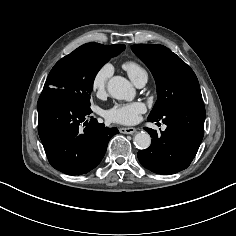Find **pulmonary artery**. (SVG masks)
Listing matches in <instances>:
<instances>
[{"instance_id":"obj_1","label":"pulmonary artery","mask_w":236,"mask_h":236,"mask_svg":"<svg viewBox=\"0 0 236 236\" xmlns=\"http://www.w3.org/2000/svg\"><path fill=\"white\" fill-rule=\"evenodd\" d=\"M148 77L147 76H142L139 79H137L134 83L138 86V87H143L146 82H147Z\"/></svg>"}]
</instances>
